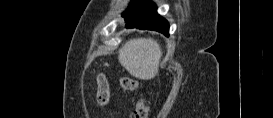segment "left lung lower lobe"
<instances>
[{"mask_svg":"<svg viewBox=\"0 0 273 118\" xmlns=\"http://www.w3.org/2000/svg\"><path fill=\"white\" fill-rule=\"evenodd\" d=\"M126 28L154 30L164 34L165 36H169V24L164 18H162L158 14H155L154 16L148 18L145 21L126 23Z\"/></svg>","mask_w":273,"mask_h":118,"instance_id":"1","label":"left lung lower lobe"}]
</instances>
